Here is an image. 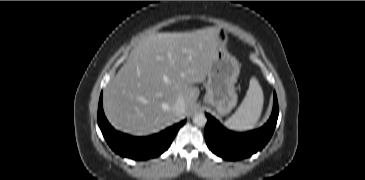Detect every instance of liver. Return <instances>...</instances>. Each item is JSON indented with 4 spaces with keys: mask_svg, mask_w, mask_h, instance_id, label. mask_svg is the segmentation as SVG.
<instances>
[{
    "mask_svg": "<svg viewBox=\"0 0 365 180\" xmlns=\"http://www.w3.org/2000/svg\"><path fill=\"white\" fill-rule=\"evenodd\" d=\"M218 46V28L152 34L131 51L104 91L109 122L134 135L158 132L190 114ZM184 99L183 114L174 105Z\"/></svg>",
    "mask_w": 365,
    "mask_h": 180,
    "instance_id": "1",
    "label": "liver"
}]
</instances>
